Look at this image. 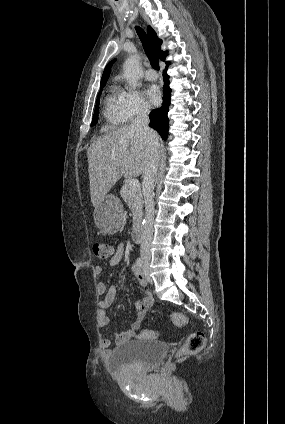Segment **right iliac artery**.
Here are the masks:
<instances>
[{"label":"right iliac artery","instance_id":"82829eb1","mask_svg":"<svg viewBox=\"0 0 285 424\" xmlns=\"http://www.w3.org/2000/svg\"><path fill=\"white\" fill-rule=\"evenodd\" d=\"M136 265L141 269L143 266V261L141 258H137L136 260Z\"/></svg>","mask_w":285,"mask_h":424}]
</instances>
